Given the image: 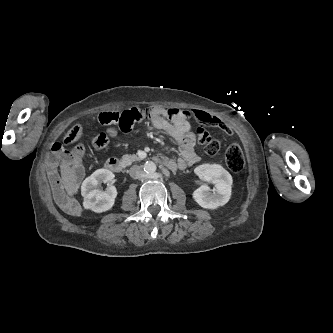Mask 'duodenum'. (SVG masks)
<instances>
[{
    "mask_svg": "<svg viewBox=\"0 0 333 333\" xmlns=\"http://www.w3.org/2000/svg\"><path fill=\"white\" fill-rule=\"evenodd\" d=\"M158 162L164 163L165 157L159 156L156 158ZM105 168L113 173H120L123 169L121 162L117 158H109L105 162Z\"/></svg>",
    "mask_w": 333,
    "mask_h": 333,
    "instance_id": "410a0bca",
    "label": "duodenum"
}]
</instances>
